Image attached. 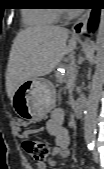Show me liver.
Wrapping results in <instances>:
<instances>
[{
    "mask_svg": "<svg viewBox=\"0 0 104 169\" xmlns=\"http://www.w3.org/2000/svg\"><path fill=\"white\" fill-rule=\"evenodd\" d=\"M59 26H35L20 31L13 41L6 70V90L12 100L25 81L50 74L65 55L72 53L77 41Z\"/></svg>",
    "mask_w": 104,
    "mask_h": 169,
    "instance_id": "6515ba94",
    "label": "liver"
}]
</instances>
